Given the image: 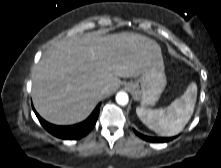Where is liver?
I'll return each instance as SVG.
<instances>
[{
    "label": "liver",
    "mask_w": 221,
    "mask_h": 168,
    "mask_svg": "<svg viewBox=\"0 0 221 168\" xmlns=\"http://www.w3.org/2000/svg\"><path fill=\"white\" fill-rule=\"evenodd\" d=\"M153 64L164 65L161 48L140 34H86L61 41L33 70L34 106L50 123L81 122L98 101L118 89L121 77L137 78Z\"/></svg>",
    "instance_id": "liver-1"
}]
</instances>
